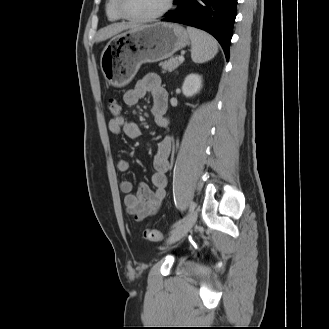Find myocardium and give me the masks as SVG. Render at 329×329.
<instances>
[{"label":"myocardium","mask_w":329,"mask_h":329,"mask_svg":"<svg viewBox=\"0 0 329 329\" xmlns=\"http://www.w3.org/2000/svg\"><path fill=\"white\" fill-rule=\"evenodd\" d=\"M173 1L174 0H166L164 7L160 11L148 16H138V15H132L127 13L123 6V0H116V6L119 14L127 20H131L135 22H150L164 16L172 8Z\"/></svg>","instance_id":"f54148a6"}]
</instances>
